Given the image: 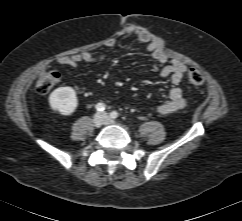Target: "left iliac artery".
I'll return each mask as SVG.
<instances>
[{"label":"left iliac artery","instance_id":"1","mask_svg":"<svg viewBox=\"0 0 242 221\" xmlns=\"http://www.w3.org/2000/svg\"><path fill=\"white\" fill-rule=\"evenodd\" d=\"M110 117L113 118V119L117 118V117H118V112H116V111H112V112L110 113Z\"/></svg>","mask_w":242,"mask_h":221}]
</instances>
